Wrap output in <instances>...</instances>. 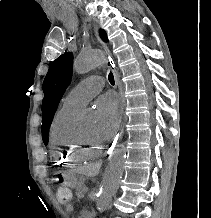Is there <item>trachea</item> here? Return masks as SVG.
Segmentation results:
<instances>
[{
	"mask_svg": "<svg viewBox=\"0 0 211 218\" xmlns=\"http://www.w3.org/2000/svg\"><path fill=\"white\" fill-rule=\"evenodd\" d=\"M108 80L109 82L111 83V85H114L115 84V80H114V76H113V73H109L108 75Z\"/></svg>",
	"mask_w": 211,
	"mask_h": 218,
	"instance_id": "trachea-1",
	"label": "trachea"
}]
</instances>
